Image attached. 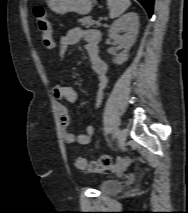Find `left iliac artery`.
I'll return each mask as SVG.
<instances>
[{
  "label": "left iliac artery",
  "mask_w": 188,
  "mask_h": 213,
  "mask_svg": "<svg viewBox=\"0 0 188 213\" xmlns=\"http://www.w3.org/2000/svg\"><path fill=\"white\" fill-rule=\"evenodd\" d=\"M118 135H119V134H118V131H115L114 134H113V139L118 138Z\"/></svg>",
  "instance_id": "obj_1"
}]
</instances>
